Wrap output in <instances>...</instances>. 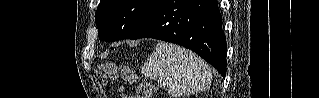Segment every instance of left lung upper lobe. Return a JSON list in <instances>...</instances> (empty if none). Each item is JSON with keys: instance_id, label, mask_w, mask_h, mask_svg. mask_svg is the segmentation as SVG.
<instances>
[{"instance_id": "5c2ea615", "label": "left lung upper lobe", "mask_w": 319, "mask_h": 98, "mask_svg": "<svg viewBox=\"0 0 319 98\" xmlns=\"http://www.w3.org/2000/svg\"><path fill=\"white\" fill-rule=\"evenodd\" d=\"M159 0H101L95 22L101 41L129 38L147 20Z\"/></svg>"}]
</instances>
